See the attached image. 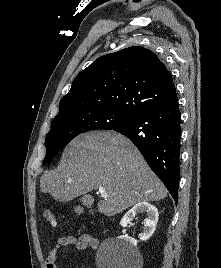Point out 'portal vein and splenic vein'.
<instances>
[{
	"label": "portal vein and splenic vein",
	"instance_id": "18ae733b",
	"mask_svg": "<svg viewBox=\"0 0 221 268\" xmlns=\"http://www.w3.org/2000/svg\"><path fill=\"white\" fill-rule=\"evenodd\" d=\"M99 192L103 198H107L108 194L106 193L105 189L103 187H99Z\"/></svg>",
	"mask_w": 221,
	"mask_h": 268
}]
</instances>
